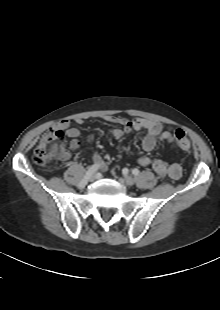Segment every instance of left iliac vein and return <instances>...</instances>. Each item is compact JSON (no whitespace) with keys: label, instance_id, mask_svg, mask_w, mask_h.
Returning a JSON list of instances; mask_svg holds the SVG:
<instances>
[{"label":"left iliac vein","instance_id":"obj_1","mask_svg":"<svg viewBox=\"0 0 220 310\" xmlns=\"http://www.w3.org/2000/svg\"><path fill=\"white\" fill-rule=\"evenodd\" d=\"M124 181L127 185H133L134 184V178H132L131 176L126 175L124 177Z\"/></svg>","mask_w":220,"mask_h":310}]
</instances>
